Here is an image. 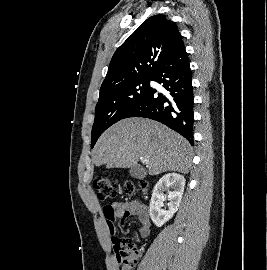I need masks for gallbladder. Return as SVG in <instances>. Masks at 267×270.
Listing matches in <instances>:
<instances>
[{
  "mask_svg": "<svg viewBox=\"0 0 267 270\" xmlns=\"http://www.w3.org/2000/svg\"><path fill=\"white\" fill-rule=\"evenodd\" d=\"M129 173L131 177L136 179H143L146 176V171L138 166L131 167Z\"/></svg>",
  "mask_w": 267,
  "mask_h": 270,
  "instance_id": "1",
  "label": "gallbladder"
}]
</instances>
